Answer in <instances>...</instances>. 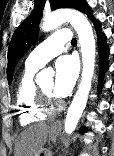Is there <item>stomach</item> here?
<instances>
[{
	"label": "stomach",
	"instance_id": "0dacf381",
	"mask_svg": "<svg viewBox=\"0 0 114 156\" xmlns=\"http://www.w3.org/2000/svg\"><path fill=\"white\" fill-rule=\"evenodd\" d=\"M59 131H60V129L58 127H55L52 125L49 129V139L51 141H55L56 137L59 134ZM37 156H52V153L49 149L42 148Z\"/></svg>",
	"mask_w": 114,
	"mask_h": 156
}]
</instances>
